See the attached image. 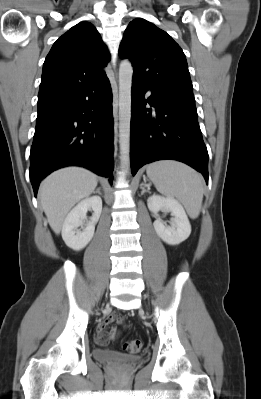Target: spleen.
<instances>
[{
    "mask_svg": "<svg viewBox=\"0 0 261 399\" xmlns=\"http://www.w3.org/2000/svg\"><path fill=\"white\" fill-rule=\"evenodd\" d=\"M146 172L160 193L176 197L191 218L199 216L204 192L203 178L199 173L183 163L170 160L151 163Z\"/></svg>",
    "mask_w": 261,
    "mask_h": 399,
    "instance_id": "spleen-1",
    "label": "spleen"
}]
</instances>
